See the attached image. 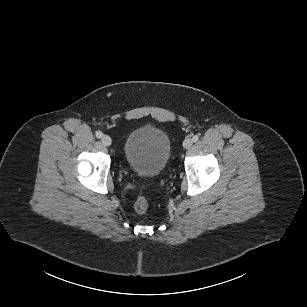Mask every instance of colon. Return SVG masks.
Wrapping results in <instances>:
<instances>
[{
	"mask_svg": "<svg viewBox=\"0 0 307 307\" xmlns=\"http://www.w3.org/2000/svg\"><path fill=\"white\" fill-rule=\"evenodd\" d=\"M149 208L148 200L144 196H139L134 203V209L137 213L143 214Z\"/></svg>",
	"mask_w": 307,
	"mask_h": 307,
	"instance_id": "colon-1",
	"label": "colon"
}]
</instances>
